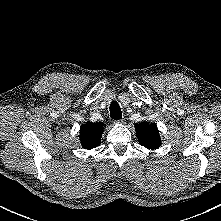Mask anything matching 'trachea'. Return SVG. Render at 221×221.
Listing matches in <instances>:
<instances>
[{
	"instance_id": "3493384b",
	"label": "trachea",
	"mask_w": 221,
	"mask_h": 221,
	"mask_svg": "<svg viewBox=\"0 0 221 221\" xmlns=\"http://www.w3.org/2000/svg\"><path fill=\"white\" fill-rule=\"evenodd\" d=\"M110 117L115 120L122 118V111L116 101H113L110 104Z\"/></svg>"
}]
</instances>
